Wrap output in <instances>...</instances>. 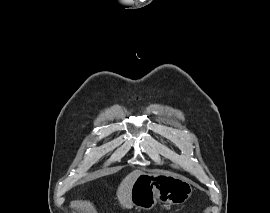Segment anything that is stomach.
Returning a JSON list of instances; mask_svg holds the SVG:
<instances>
[{"label":"stomach","mask_w":270,"mask_h":213,"mask_svg":"<svg viewBox=\"0 0 270 213\" xmlns=\"http://www.w3.org/2000/svg\"><path fill=\"white\" fill-rule=\"evenodd\" d=\"M192 194L191 183L185 177L167 171L155 170L141 174L131 190L133 205L140 210H151L158 202L178 205Z\"/></svg>","instance_id":"obj_1"}]
</instances>
